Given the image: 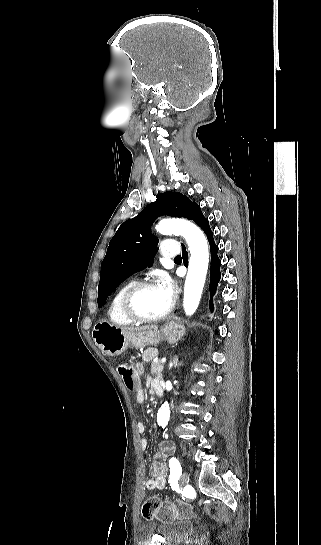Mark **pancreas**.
<instances>
[{
  "mask_svg": "<svg viewBox=\"0 0 321 545\" xmlns=\"http://www.w3.org/2000/svg\"><path fill=\"white\" fill-rule=\"evenodd\" d=\"M163 369H164V367H163L162 363H159V361H157V363H152V365H151L152 375H162Z\"/></svg>",
  "mask_w": 321,
  "mask_h": 545,
  "instance_id": "cf45deb5",
  "label": "pancreas"
}]
</instances>
